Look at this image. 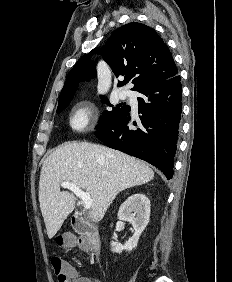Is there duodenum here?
Returning <instances> with one entry per match:
<instances>
[{"label":"duodenum","instance_id":"duodenum-1","mask_svg":"<svg viewBox=\"0 0 232 282\" xmlns=\"http://www.w3.org/2000/svg\"><path fill=\"white\" fill-rule=\"evenodd\" d=\"M72 225L77 233L86 237L89 248L95 255H98L101 249L98 230L80 216H73Z\"/></svg>","mask_w":232,"mask_h":282}]
</instances>
